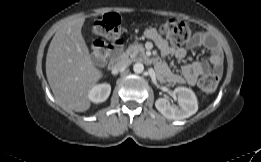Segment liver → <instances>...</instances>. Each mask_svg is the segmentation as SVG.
Here are the masks:
<instances>
[{
    "instance_id": "1",
    "label": "liver",
    "mask_w": 261,
    "mask_h": 162,
    "mask_svg": "<svg viewBox=\"0 0 261 162\" xmlns=\"http://www.w3.org/2000/svg\"><path fill=\"white\" fill-rule=\"evenodd\" d=\"M84 21L80 17L66 22L52 38L46 57V76L56 100L76 112L90 108L88 93L103 76L82 36Z\"/></svg>"
}]
</instances>
